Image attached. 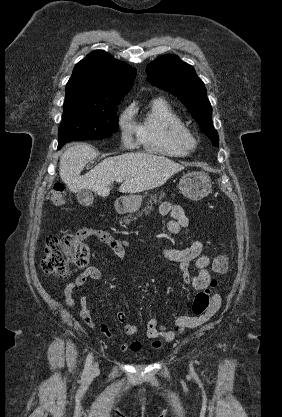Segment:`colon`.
<instances>
[{"label": "colon", "instance_id": "5ec220e1", "mask_svg": "<svg viewBox=\"0 0 282 417\" xmlns=\"http://www.w3.org/2000/svg\"><path fill=\"white\" fill-rule=\"evenodd\" d=\"M50 202L55 207L65 204V192L63 185L56 183L48 191ZM46 254L41 261V268L45 273H53L58 276L68 275L72 269L84 267L89 258V250L86 244L70 234L52 235L46 239ZM213 269L218 273H224L230 268V260L223 253L213 260ZM217 285L211 280L209 286L201 290L194 298L192 312L195 316H201L215 306L212 289Z\"/></svg>", "mask_w": 282, "mask_h": 417}]
</instances>
